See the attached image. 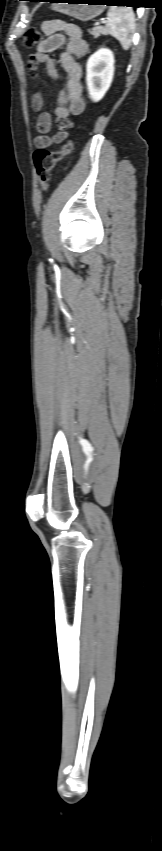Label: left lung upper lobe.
Here are the masks:
<instances>
[{
	"instance_id": "obj_1",
	"label": "left lung upper lobe",
	"mask_w": 162,
	"mask_h": 851,
	"mask_svg": "<svg viewBox=\"0 0 162 851\" xmlns=\"http://www.w3.org/2000/svg\"><path fill=\"white\" fill-rule=\"evenodd\" d=\"M28 1H36V0H28Z\"/></svg>"
}]
</instances>
